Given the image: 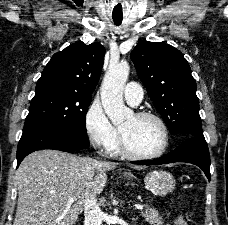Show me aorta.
<instances>
[{
	"mask_svg": "<svg viewBox=\"0 0 228 225\" xmlns=\"http://www.w3.org/2000/svg\"><path fill=\"white\" fill-rule=\"evenodd\" d=\"M130 66L123 62H110L109 68L102 80L101 100L105 113L112 125H122L127 117H132L133 110L127 108L123 100V88L129 76Z\"/></svg>",
	"mask_w": 228,
	"mask_h": 225,
	"instance_id": "aorta-1",
	"label": "aorta"
}]
</instances>
